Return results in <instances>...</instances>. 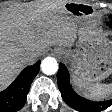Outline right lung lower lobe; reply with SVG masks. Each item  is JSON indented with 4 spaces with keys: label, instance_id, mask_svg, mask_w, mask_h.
I'll return each mask as SVG.
<instances>
[{
    "label": "right lung lower lobe",
    "instance_id": "obj_1",
    "mask_svg": "<svg viewBox=\"0 0 112 112\" xmlns=\"http://www.w3.org/2000/svg\"><path fill=\"white\" fill-rule=\"evenodd\" d=\"M40 61L26 67L15 81L0 92V112H17L26 101L31 83L39 72Z\"/></svg>",
    "mask_w": 112,
    "mask_h": 112
}]
</instances>
